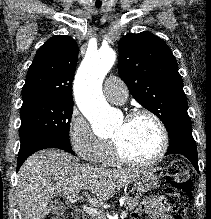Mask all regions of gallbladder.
Here are the masks:
<instances>
[{
	"label": "gallbladder",
	"mask_w": 211,
	"mask_h": 219,
	"mask_svg": "<svg viewBox=\"0 0 211 219\" xmlns=\"http://www.w3.org/2000/svg\"><path fill=\"white\" fill-rule=\"evenodd\" d=\"M49 209L53 214H56V215H62V214H64V212L66 210L64 204L60 201H57V200L50 202Z\"/></svg>",
	"instance_id": "bac80fb5"
}]
</instances>
